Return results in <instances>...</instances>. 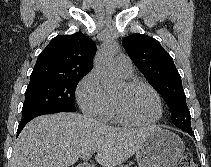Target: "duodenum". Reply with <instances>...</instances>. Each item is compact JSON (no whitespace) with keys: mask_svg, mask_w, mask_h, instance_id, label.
I'll use <instances>...</instances> for the list:
<instances>
[{"mask_svg":"<svg viewBox=\"0 0 211 167\" xmlns=\"http://www.w3.org/2000/svg\"><path fill=\"white\" fill-rule=\"evenodd\" d=\"M78 167H90V166L83 164V165H79Z\"/></svg>","mask_w":211,"mask_h":167,"instance_id":"410a0bca","label":"duodenum"}]
</instances>
